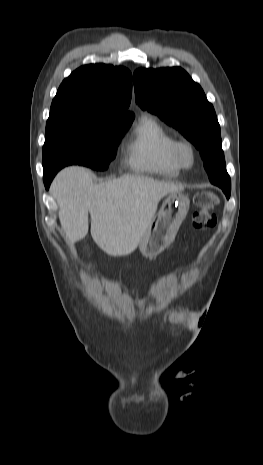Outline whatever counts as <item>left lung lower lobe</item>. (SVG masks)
I'll use <instances>...</instances> for the list:
<instances>
[{
  "mask_svg": "<svg viewBox=\"0 0 263 465\" xmlns=\"http://www.w3.org/2000/svg\"><path fill=\"white\" fill-rule=\"evenodd\" d=\"M202 159L204 161L205 169L209 175L210 181L214 184L216 182V173L215 171L219 167V162L215 157L212 155H204L202 156Z\"/></svg>",
  "mask_w": 263,
  "mask_h": 465,
  "instance_id": "0a47b994",
  "label": "left lung lower lobe"
}]
</instances>
